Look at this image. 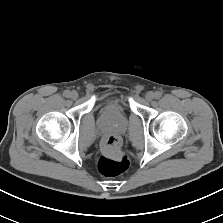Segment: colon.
Returning <instances> with one entry per match:
<instances>
[{"label":"colon","mask_w":223,"mask_h":223,"mask_svg":"<svg viewBox=\"0 0 223 223\" xmlns=\"http://www.w3.org/2000/svg\"><path fill=\"white\" fill-rule=\"evenodd\" d=\"M103 154L98 160V170L105 177H114L125 172L129 166V159L121 151L118 136L110 134L104 137Z\"/></svg>","instance_id":"5ec220e1"}]
</instances>
